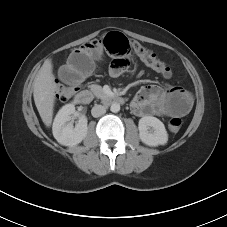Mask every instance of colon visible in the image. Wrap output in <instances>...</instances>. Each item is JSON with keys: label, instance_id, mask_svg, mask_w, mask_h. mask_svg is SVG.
Wrapping results in <instances>:
<instances>
[{"label": "colon", "instance_id": "colon-1", "mask_svg": "<svg viewBox=\"0 0 227 227\" xmlns=\"http://www.w3.org/2000/svg\"><path fill=\"white\" fill-rule=\"evenodd\" d=\"M102 49H105L114 59H121L123 57L130 58L135 54L149 68L157 71L164 77L171 76L169 66L152 50L118 32H111L102 38L90 40L75 51L85 50L87 52H93ZM78 89L79 87L67 86L62 82H58L56 86V97L61 101H66L73 96ZM181 126L182 121L180 118L175 117L168 122L169 130L174 133L178 132Z\"/></svg>", "mask_w": 227, "mask_h": 227}]
</instances>
